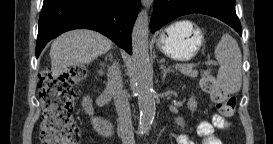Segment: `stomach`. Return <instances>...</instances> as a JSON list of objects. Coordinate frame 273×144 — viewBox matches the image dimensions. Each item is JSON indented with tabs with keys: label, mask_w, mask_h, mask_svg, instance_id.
<instances>
[{
	"label": "stomach",
	"mask_w": 273,
	"mask_h": 144,
	"mask_svg": "<svg viewBox=\"0 0 273 144\" xmlns=\"http://www.w3.org/2000/svg\"><path fill=\"white\" fill-rule=\"evenodd\" d=\"M203 32L190 21H179L162 31L157 39L158 49L167 57L188 61L200 50Z\"/></svg>",
	"instance_id": "stomach-1"
}]
</instances>
